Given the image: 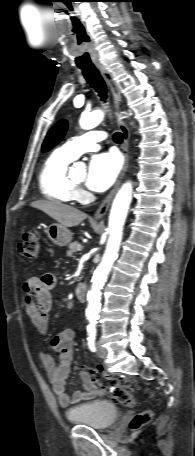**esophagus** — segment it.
<instances>
[{"instance_id":"obj_1","label":"esophagus","mask_w":195,"mask_h":456,"mask_svg":"<svg viewBox=\"0 0 195 456\" xmlns=\"http://www.w3.org/2000/svg\"><path fill=\"white\" fill-rule=\"evenodd\" d=\"M98 70L100 71L102 77L108 84L113 100H114V105L116 108V115H117V121H118V126L123 134V143H122V150H123V155H124V166L122 168V171L113 187V189L110 191V193L107 195V197L104 199L100 207L97 209V211L94 214V219L99 220L102 219L110 206V203L117 191V189L120 186V183L127 171L128 165H129V140H130V133L128 130V127L126 126L122 114L120 112V105H121V94L119 91V88L114 81L112 74L103 66V65H97Z\"/></svg>"}]
</instances>
